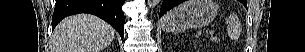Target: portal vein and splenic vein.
Here are the masks:
<instances>
[{
    "instance_id": "obj_1",
    "label": "portal vein and splenic vein",
    "mask_w": 305,
    "mask_h": 52,
    "mask_svg": "<svg viewBox=\"0 0 305 52\" xmlns=\"http://www.w3.org/2000/svg\"><path fill=\"white\" fill-rule=\"evenodd\" d=\"M209 34H210V35H213V34H214V31H212V30L209 31Z\"/></svg>"
}]
</instances>
